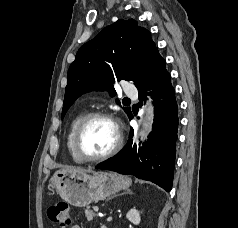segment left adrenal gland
I'll use <instances>...</instances> for the list:
<instances>
[{"mask_svg": "<svg viewBox=\"0 0 238 228\" xmlns=\"http://www.w3.org/2000/svg\"><path fill=\"white\" fill-rule=\"evenodd\" d=\"M124 194H132V191L127 190L126 192H123L121 195H124Z\"/></svg>", "mask_w": 238, "mask_h": 228, "instance_id": "1", "label": "left adrenal gland"}]
</instances>
